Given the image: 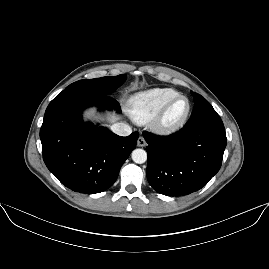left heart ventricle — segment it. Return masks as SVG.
I'll list each match as a JSON object with an SVG mask.
<instances>
[{
	"mask_svg": "<svg viewBox=\"0 0 269 269\" xmlns=\"http://www.w3.org/2000/svg\"><path fill=\"white\" fill-rule=\"evenodd\" d=\"M186 108L187 101L185 99H179L176 101L168 114V121L170 123L178 121L185 113Z\"/></svg>",
	"mask_w": 269,
	"mask_h": 269,
	"instance_id": "b2bd125f",
	"label": "left heart ventricle"
}]
</instances>
